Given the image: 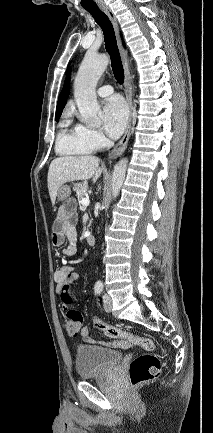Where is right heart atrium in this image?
Returning <instances> with one entry per match:
<instances>
[{"label":"right heart atrium","instance_id":"d8ad5b80","mask_svg":"<svg viewBox=\"0 0 213 433\" xmlns=\"http://www.w3.org/2000/svg\"><path fill=\"white\" fill-rule=\"evenodd\" d=\"M84 129V132L89 139V141L92 143L95 149L101 148L106 144V139L101 131L97 129H92L88 127L82 126Z\"/></svg>","mask_w":213,"mask_h":433}]
</instances>
